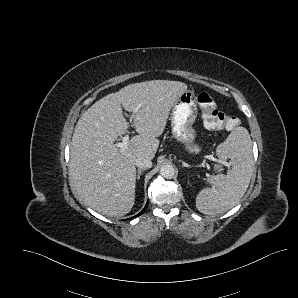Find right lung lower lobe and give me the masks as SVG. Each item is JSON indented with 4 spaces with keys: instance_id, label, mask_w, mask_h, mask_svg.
Segmentation results:
<instances>
[{
    "instance_id": "obj_1",
    "label": "right lung lower lobe",
    "mask_w": 298,
    "mask_h": 298,
    "mask_svg": "<svg viewBox=\"0 0 298 298\" xmlns=\"http://www.w3.org/2000/svg\"><path fill=\"white\" fill-rule=\"evenodd\" d=\"M146 207H147V205L145 206V208L138 215L134 216V218L141 215L145 211Z\"/></svg>"
}]
</instances>
